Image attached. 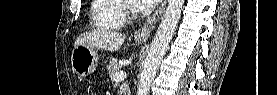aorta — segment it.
I'll return each instance as SVG.
<instances>
[{
  "mask_svg": "<svg viewBox=\"0 0 277 95\" xmlns=\"http://www.w3.org/2000/svg\"><path fill=\"white\" fill-rule=\"evenodd\" d=\"M183 3L184 0H168V6L139 75L137 95H149L151 83L177 28Z\"/></svg>",
  "mask_w": 277,
  "mask_h": 95,
  "instance_id": "762f6f07",
  "label": "aorta"
}]
</instances>
